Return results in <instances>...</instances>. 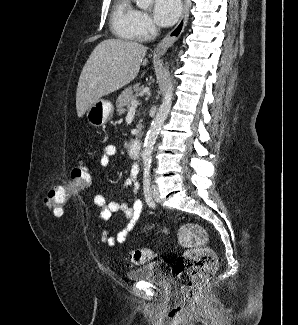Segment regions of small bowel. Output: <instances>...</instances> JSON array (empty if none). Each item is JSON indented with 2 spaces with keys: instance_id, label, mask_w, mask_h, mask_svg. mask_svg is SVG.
Segmentation results:
<instances>
[{
  "instance_id": "small-bowel-1",
  "label": "small bowel",
  "mask_w": 298,
  "mask_h": 325,
  "mask_svg": "<svg viewBox=\"0 0 298 325\" xmlns=\"http://www.w3.org/2000/svg\"><path fill=\"white\" fill-rule=\"evenodd\" d=\"M116 152V146L112 144L106 145L99 160L100 166H108ZM138 172L139 166L137 164H133L131 166L129 176L123 185V191L130 190L134 196L132 204H129L124 200H111L110 202H107L106 197L102 194H98L94 197V204L100 210L99 214L101 219L109 220L112 214L118 211H121L128 219L127 226L118 232L116 236L111 235L107 229L102 231L101 241L108 246H115L118 243H124L129 233L136 227L139 221L144 203L143 200L137 196L140 187Z\"/></svg>"
}]
</instances>
